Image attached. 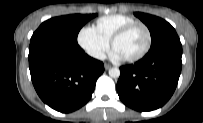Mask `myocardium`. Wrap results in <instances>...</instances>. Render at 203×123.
I'll list each match as a JSON object with an SVG mask.
<instances>
[{"instance_id": "myocardium-1", "label": "myocardium", "mask_w": 203, "mask_h": 123, "mask_svg": "<svg viewBox=\"0 0 203 123\" xmlns=\"http://www.w3.org/2000/svg\"><path fill=\"white\" fill-rule=\"evenodd\" d=\"M136 27H141L144 29L146 36H147V42L145 47L143 48V50L141 52H139L138 54L132 56V57H128V58H124V60L128 61V62H135L140 60L141 58H143L150 50L151 45H152V35H151V31L148 28V26L142 22H134L131 24H128L124 27H122L120 30H118L112 37L111 39V46L114 49L115 43L118 39H120L121 37L125 36L126 34H128L131 30H133Z\"/></svg>"}]
</instances>
